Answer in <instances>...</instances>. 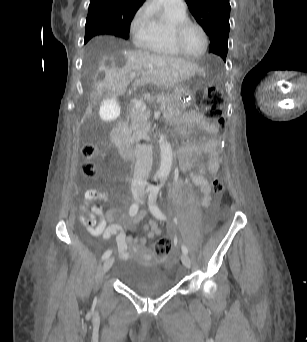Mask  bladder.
<instances>
[{
    "mask_svg": "<svg viewBox=\"0 0 307 342\" xmlns=\"http://www.w3.org/2000/svg\"><path fill=\"white\" fill-rule=\"evenodd\" d=\"M120 280L130 290L145 296L162 295L177 285L171 271L136 260L125 262Z\"/></svg>",
    "mask_w": 307,
    "mask_h": 342,
    "instance_id": "31cf9c89",
    "label": "bladder"
}]
</instances>
